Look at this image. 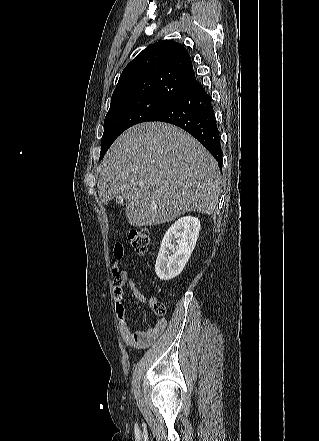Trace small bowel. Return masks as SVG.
I'll list each match as a JSON object with an SVG mask.
<instances>
[{"instance_id": "small-bowel-1", "label": "small bowel", "mask_w": 319, "mask_h": 441, "mask_svg": "<svg viewBox=\"0 0 319 441\" xmlns=\"http://www.w3.org/2000/svg\"><path fill=\"white\" fill-rule=\"evenodd\" d=\"M124 250L123 247L117 244L113 250V255L115 259L120 260L123 257ZM127 286L132 292L133 296L148 305H154L157 303L154 297L146 296L136 285V283L127 275L126 271L120 270L115 273L114 280V303L115 311L118 321V329L121 338L126 343V345L134 348H146L152 345L163 333L166 322L165 320H160L156 322L152 327L141 330L134 331L130 328L127 318H126V306L124 302V287Z\"/></svg>"}]
</instances>
